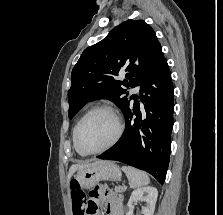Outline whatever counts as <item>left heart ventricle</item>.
I'll list each match as a JSON object with an SVG mask.
<instances>
[{
    "label": "left heart ventricle",
    "instance_id": "left-heart-ventricle-1",
    "mask_svg": "<svg viewBox=\"0 0 223 215\" xmlns=\"http://www.w3.org/2000/svg\"><path fill=\"white\" fill-rule=\"evenodd\" d=\"M116 133L114 118L107 112L99 111L90 115L80 126L77 145L83 152H94L110 143Z\"/></svg>",
    "mask_w": 223,
    "mask_h": 215
}]
</instances>
